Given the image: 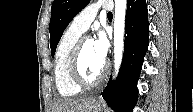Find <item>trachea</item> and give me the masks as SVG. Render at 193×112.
Returning a JSON list of instances; mask_svg holds the SVG:
<instances>
[{"label": "trachea", "mask_w": 193, "mask_h": 112, "mask_svg": "<svg viewBox=\"0 0 193 112\" xmlns=\"http://www.w3.org/2000/svg\"><path fill=\"white\" fill-rule=\"evenodd\" d=\"M107 15H108V16H112V13H111V12H109Z\"/></svg>", "instance_id": "1"}]
</instances>
